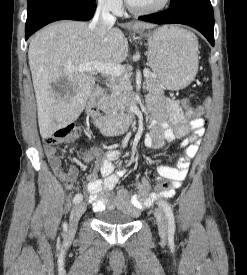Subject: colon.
I'll return each instance as SVG.
<instances>
[{
  "label": "colon",
  "mask_w": 247,
  "mask_h": 275,
  "mask_svg": "<svg viewBox=\"0 0 247 275\" xmlns=\"http://www.w3.org/2000/svg\"><path fill=\"white\" fill-rule=\"evenodd\" d=\"M184 105L187 109V113L191 117H197L201 115L204 111L203 106L191 107L188 101H185ZM209 106H210V100L207 99L205 102V107L209 108ZM79 135H80V128L75 124H69L65 127H62L56 130L52 135L47 136L44 141L47 145L55 146V145L70 142L78 138ZM170 187H171V184L169 182H164L157 187V191L163 192L170 189Z\"/></svg>",
  "instance_id": "5ec220e1"
}]
</instances>
